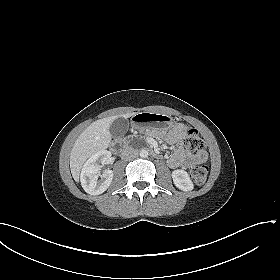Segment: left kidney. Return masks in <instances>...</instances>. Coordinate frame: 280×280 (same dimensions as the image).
Segmentation results:
<instances>
[{"instance_id":"5707ae66","label":"left kidney","mask_w":280,"mask_h":280,"mask_svg":"<svg viewBox=\"0 0 280 280\" xmlns=\"http://www.w3.org/2000/svg\"><path fill=\"white\" fill-rule=\"evenodd\" d=\"M172 178L175 186L183 191H191L194 188V185L190 179L188 173L184 170H174L172 172Z\"/></svg>"}]
</instances>
